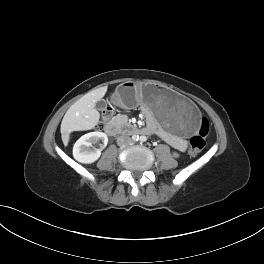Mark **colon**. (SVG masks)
<instances>
[{
  "label": "colon",
  "instance_id": "1",
  "mask_svg": "<svg viewBox=\"0 0 264 264\" xmlns=\"http://www.w3.org/2000/svg\"><path fill=\"white\" fill-rule=\"evenodd\" d=\"M112 117L111 108L107 107L102 112L103 121H107ZM210 124L206 118H202L199 124L197 133L190 140V153L192 155L198 154L206 145V137L209 133Z\"/></svg>",
  "mask_w": 264,
  "mask_h": 264
}]
</instances>
